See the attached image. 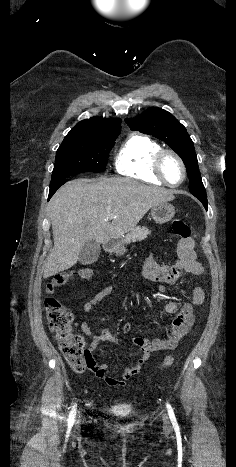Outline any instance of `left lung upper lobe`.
Wrapping results in <instances>:
<instances>
[{
	"label": "left lung upper lobe",
	"mask_w": 236,
	"mask_h": 467,
	"mask_svg": "<svg viewBox=\"0 0 236 467\" xmlns=\"http://www.w3.org/2000/svg\"><path fill=\"white\" fill-rule=\"evenodd\" d=\"M131 130L153 135L169 145L183 160L192 194H206L199 172L194 144L185 127L169 112L152 108L140 116L125 119Z\"/></svg>",
	"instance_id": "left-lung-upper-lobe-1"
}]
</instances>
